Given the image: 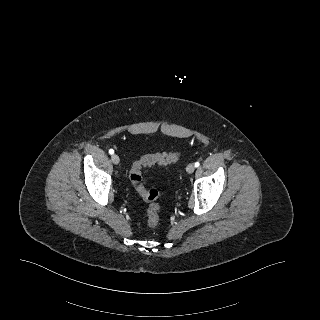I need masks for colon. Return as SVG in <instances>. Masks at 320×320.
<instances>
[{
    "label": "colon",
    "mask_w": 320,
    "mask_h": 320,
    "mask_svg": "<svg viewBox=\"0 0 320 320\" xmlns=\"http://www.w3.org/2000/svg\"><path fill=\"white\" fill-rule=\"evenodd\" d=\"M180 158L178 151L148 154L142 156L132 165L129 178L134 189L148 203L147 223L149 227H156L159 223L160 200L159 192L156 189H146L142 183L141 169L154 164H170Z\"/></svg>",
    "instance_id": "5ec220e1"
}]
</instances>
